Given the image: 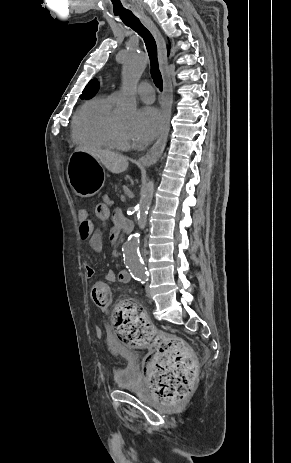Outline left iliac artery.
Listing matches in <instances>:
<instances>
[{
    "label": "left iliac artery",
    "mask_w": 291,
    "mask_h": 463,
    "mask_svg": "<svg viewBox=\"0 0 291 463\" xmlns=\"http://www.w3.org/2000/svg\"><path fill=\"white\" fill-rule=\"evenodd\" d=\"M139 281H141L142 284L145 283V278H141V279H138Z\"/></svg>",
    "instance_id": "1"
}]
</instances>
